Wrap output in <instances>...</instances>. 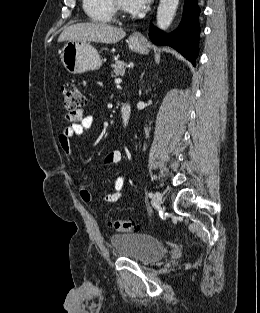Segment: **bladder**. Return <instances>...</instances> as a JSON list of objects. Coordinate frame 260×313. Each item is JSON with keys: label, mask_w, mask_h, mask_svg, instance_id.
Listing matches in <instances>:
<instances>
[{"label": "bladder", "mask_w": 260, "mask_h": 313, "mask_svg": "<svg viewBox=\"0 0 260 313\" xmlns=\"http://www.w3.org/2000/svg\"><path fill=\"white\" fill-rule=\"evenodd\" d=\"M112 246L125 258L149 264L163 257L166 246L158 239L141 233L112 235Z\"/></svg>", "instance_id": "1"}]
</instances>
